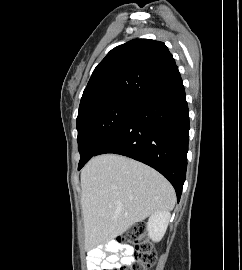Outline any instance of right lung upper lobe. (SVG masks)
<instances>
[{
    "mask_svg": "<svg viewBox=\"0 0 242 270\" xmlns=\"http://www.w3.org/2000/svg\"><path fill=\"white\" fill-rule=\"evenodd\" d=\"M180 75L162 42L134 39L112 49L94 69L78 114L109 102H138Z\"/></svg>",
    "mask_w": 242,
    "mask_h": 270,
    "instance_id": "cb5924a9",
    "label": "right lung upper lobe"
}]
</instances>
